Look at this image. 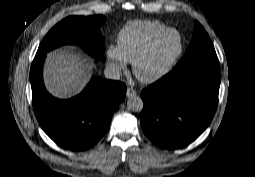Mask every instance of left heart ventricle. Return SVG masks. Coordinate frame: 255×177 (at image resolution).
Here are the masks:
<instances>
[{
    "instance_id": "left-heart-ventricle-1",
    "label": "left heart ventricle",
    "mask_w": 255,
    "mask_h": 177,
    "mask_svg": "<svg viewBox=\"0 0 255 177\" xmlns=\"http://www.w3.org/2000/svg\"><path fill=\"white\" fill-rule=\"evenodd\" d=\"M177 48L178 36L176 33H169L162 37L148 56L138 65V75L141 77L154 75L162 68Z\"/></svg>"
}]
</instances>
